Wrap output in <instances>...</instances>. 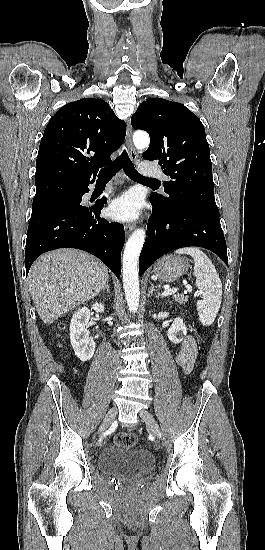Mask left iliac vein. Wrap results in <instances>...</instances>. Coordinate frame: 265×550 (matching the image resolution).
<instances>
[{"mask_svg": "<svg viewBox=\"0 0 265 550\" xmlns=\"http://www.w3.org/2000/svg\"><path fill=\"white\" fill-rule=\"evenodd\" d=\"M140 417L144 420L151 432L159 439H163V433L153 415L146 409L140 411Z\"/></svg>", "mask_w": 265, "mask_h": 550, "instance_id": "4c4485c4", "label": "left iliac vein"}]
</instances>
